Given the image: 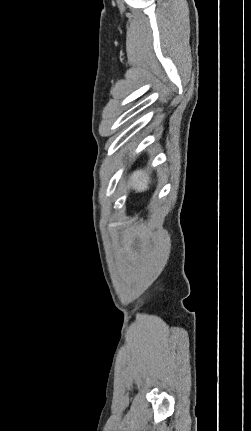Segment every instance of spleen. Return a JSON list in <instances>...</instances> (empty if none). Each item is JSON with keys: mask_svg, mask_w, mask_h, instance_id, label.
<instances>
[{"mask_svg": "<svg viewBox=\"0 0 251 431\" xmlns=\"http://www.w3.org/2000/svg\"><path fill=\"white\" fill-rule=\"evenodd\" d=\"M130 185L137 191L142 192L148 189V184L150 182L149 177L146 173L141 170L135 171L131 178Z\"/></svg>", "mask_w": 251, "mask_h": 431, "instance_id": "obj_1", "label": "spleen"}]
</instances>
